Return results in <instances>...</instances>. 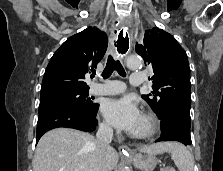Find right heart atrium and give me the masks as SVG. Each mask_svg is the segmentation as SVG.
Segmentation results:
<instances>
[{
	"instance_id": "obj_1",
	"label": "right heart atrium",
	"mask_w": 223,
	"mask_h": 171,
	"mask_svg": "<svg viewBox=\"0 0 223 171\" xmlns=\"http://www.w3.org/2000/svg\"><path fill=\"white\" fill-rule=\"evenodd\" d=\"M101 128L104 130V131H110V126L107 122H102L101 123Z\"/></svg>"
}]
</instances>
